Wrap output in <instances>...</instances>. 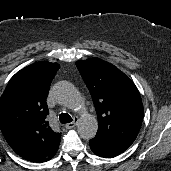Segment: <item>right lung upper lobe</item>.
<instances>
[{
    "mask_svg": "<svg viewBox=\"0 0 171 171\" xmlns=\"http://www.w3.org/2000/svg\"><path fill=\"white\" fill-rule=\"evenodd\" d=\"M59 64L33 63L17 72L0 98V129L10 147L32 162L50 160L58 150L60 134L47 121L46 98Z\"/></svg>",
    "mask_w": 171,
    "mask_h": 171,
    "instance_id": "right-lung-upper-lobe-1",
    "label": "right lung upper lobe"
}]
</instances>
